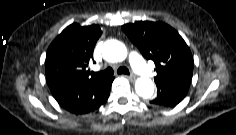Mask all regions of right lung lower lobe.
I'll list each match as a JSON object with an SVG mask.
<instances>
[{
    "mask_svg": "<svg viewBox=\"0 0 236 135\" xmlns=\"http://www.w3.org/2000/svg\"><path fill=\"white\" fill-rule=\"evenodd\" d=\"M114 77L90 83H61L50 90L62 108L70 113L87 114L104 104L110 94Z\"/></svg>",
    "mask_w": 236,
    "mask_h": 135,
    "instance_id": "right-lung-lower-lobe-1",
    "label": "right lung lower lobe"
}]
</instances>
